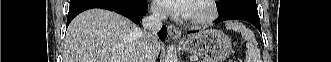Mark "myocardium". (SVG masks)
<instances>
[{
	"label": "myocardium",
	"instance_id": "obj_1",
	"mask_svg": "<svg viewBox=\"0 0 331 62\" xmlns=\"http://www.w3.org/2000/svg\"><path fill=\"white\" fill-rule=\"evenodd\" d=\"M203 7V12L191 16L187 19L189 25L193 27H201L210 24L218 16V8L213 0H197Z\"/></svg>",
	"mask_w": 331,
	"mask_h": 62
}]
</instances>
